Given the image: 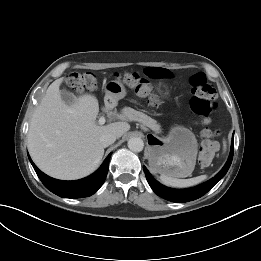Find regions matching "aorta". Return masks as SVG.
Returning a JSON list of instances; mask_svg holds the SVG:
<instances>
[{"mask_svg": "<svg viewBox=\"0 0 261 261\" xmlns=\"http://www.w3.org/2000/svg\"><path fill=\"white\" fill-rule=\"evenodd\" d=\"M128 148L133 152H141L144 148V142L139 137H132L128 140Z\"/></svg>", "mask_w": 261, "mask_h": 261, "instance_id": "762f6f07", "label": "aorta"}]
</instances>
